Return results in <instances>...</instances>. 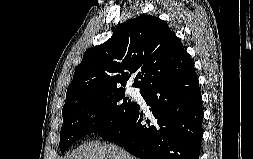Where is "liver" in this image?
I'll return each instance as SVG.
<instances>
[{
	"label": "liver",
	"mask_w": 253,
	"mask_h": 159,
	"mask_svg": "<svg viewBox=\"0 0 253 159\" xmlns=\"http://www.w3.org/2000/svg\"><path fill=\"white\" fill-rule=\"evenodd\" d=\"M66 159H137V158L116 145L100 141H93L82 144Z\"/></svg>",
	"instance_id": "liver-1"
}]
</instances>
